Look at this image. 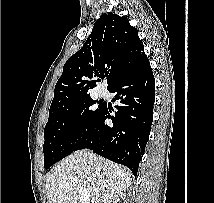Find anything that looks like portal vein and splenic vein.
Returning a JSON list of instances; mask_svg holds the SVG:
<instances>
[{"label":"portal vein and splenic vein","mask_w":214,"mask_h":203,"mask_svg":"<svg viewBox=\"0 0 214 203\" xmlns=\"http://www.w3.org/2000/svg\"><path fill=\"white\" fill-rule=\"evenodd\" d=\"M78 193L80 202L85 203L88 200L89 192L84 188H80L78 189Z\"/></svg>","instance_id":"1"}]
</instances>
